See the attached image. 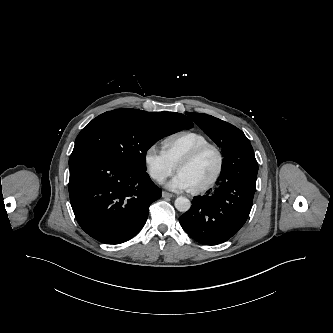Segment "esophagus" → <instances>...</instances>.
Returning a JSON list of instances; mask_svg holds the SVG:
<instances>
[{
  "label": "esophagus",
  "instance_id": "1",
  "mask_svg": "<svg viewBox=\"0 0 333 333\" xmlns=\"http://www.w3.org/2000/svg\"><path fill=\"white\" fill-rule=\"evenodd\" d=\"M162 197L163 198H172L173 197V194L169 193V192H166V191H163L162 192Z\"/></svg>",
  "mask_w": 333,
  "mask_h": 333
}]
</instances>
